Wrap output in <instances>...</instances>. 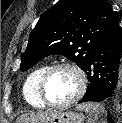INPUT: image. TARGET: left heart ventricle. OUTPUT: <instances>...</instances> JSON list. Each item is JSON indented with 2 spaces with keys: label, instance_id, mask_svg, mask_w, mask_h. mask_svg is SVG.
Listing matches in <instances>:
<instances>
[{
  "label": "left heart ventricle",
  "instance_id": "b2bd125f",
  "mask_svg": "<svg viewBox=\"0 0 122 123\" xmlns=\"http://www.w3.org/2000/svg\"><path fill=\"white\" fill-rule=\"evenodd\" d=\"M79 79L71 69L55 71L46 84L45 93L49 101L61 103L70 99L77 92Z\"/></svg>",
  "mask_w": 122,
  "mask_h": 123
}]
</instances>
